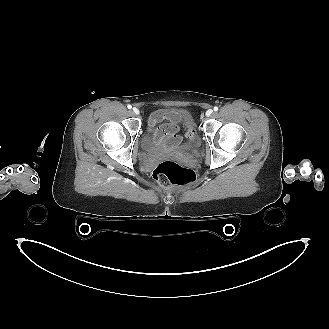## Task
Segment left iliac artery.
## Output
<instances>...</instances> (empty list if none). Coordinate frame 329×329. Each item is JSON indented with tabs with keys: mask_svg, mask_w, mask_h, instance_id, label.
<instances>
[{
	"mask_svg": "<svg viewBox=\"0 0 329 329\" xmlns=\"http://www.w3.org/2000/svg\"><path fill=\"white\" fill-rule=\"evenodd\" d=\"M213 109H214V111H218V107L217 106H215Z\"/></svg>",
	"mask_w": 329,
	"mask_h": 329,
	"instance_id": "44dca946",
	"label": "left iliac artery"
}]
</instances>
